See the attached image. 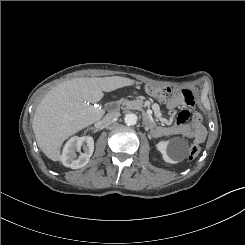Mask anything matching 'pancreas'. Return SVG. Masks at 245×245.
<instances>
[{
  "mask_svg": "<svg viewBox=\"0 0 245 245\" xmlns=\"http://www.w3.org/2000/svg\"><path fill=\"white\" fill-rule=\"evenodd\" d=\"M121 105V108L124 110L133 109V110H141L143 106V100H120L118 101V106Z\"/></svg>",
  "mask_w": 245,
  "mask_h": 245,
  "instance_id": "obj_1",
  "label": "pancreas"
}]
</instances>
